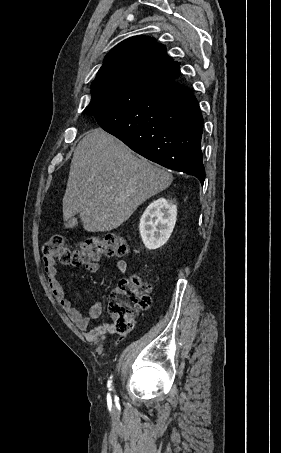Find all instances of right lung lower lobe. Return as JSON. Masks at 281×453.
<instances>
[{
  "label": "right lung lower lobe",
  "instance_id": "right-lung-lower-lobe-1",
  "mask_svg": "<svg viewBox=\"0 0 281 453\" xmlns=\"http://www.w3.org/2000/svg\"><path fill=\"white\" fill-rule=\"evenodd\" d=\"M100 127L143 157L194 175L203 185V117L191 90L163 83L129 101L89 109Z\"/></svg>",
  "mask_w": 281,
  "mask_h": 453
}]
</instances>
